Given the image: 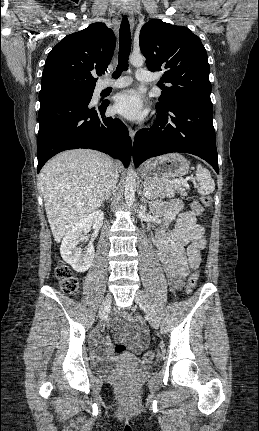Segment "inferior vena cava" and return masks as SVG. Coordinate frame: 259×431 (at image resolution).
Here are the masks:
<instances>
[{"label": "inferior vena cava", "instance_id": "1", "mask_svg": "<svg viewBox=\"0 0 259 431\" xmlns=\"http://www.w3.org/2000/svg\"><path fill=\"white\" fill-rule=\"evenodd\" d=\"M112 161V160H111ZM113 165H115V163L112 161ZM117 179H118V172L112 168L108 174V178H107V184H106V196L110 197L112 191L115 189L116 184H117Z\"/></svg>", "mask_w": 259, "mask_h": 431}]
</instances>
